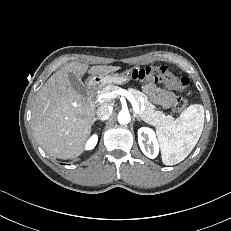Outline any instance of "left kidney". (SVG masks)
I'll list each match as a JSON object with an SVG mask.
<instances>
[{
  "instance_id": "5707ae66",
  "label": "left kidney",
  "mask_w": 231,
  "mask_h": 231,
  "mask_svg": "<svg viewBox=\"0 0 231 231\" xmlns=\"http://www.w3.org/2000/svg\"><path fill=\"white\" fill-rule=\"evenodd\" d=\"M138 142L141 151L147 157L154 159L159 153V144L156 139L155 132L147 127L138 130Z\"/></svg>"
}]
</instances>
